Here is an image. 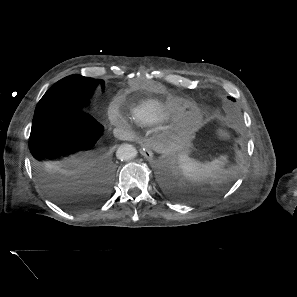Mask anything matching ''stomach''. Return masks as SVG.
I'll use <instances>...</instances> for the list:
<instances>
[{"label":"stomach","mask_w":297,"mask_h":297,"mask_svg":"<svg viewBox=\"0 0 297 297\" xmlns=\"http://www.w3.org/2000/svg\"><path fill=\"white\" fill-rule=\"evenodd\" d=\"M189 152V148L188 147H186V148H184V150H183V154H187Z\"/></svg>","instance_id":"0dacf381"}]
</instances>
